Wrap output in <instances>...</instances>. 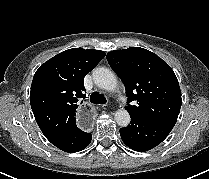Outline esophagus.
<instances>
[{"label":"esophagus","instance_id":"1","mask_svg":"<svg viewBox=\"0 0 209 179\" xmlns=\"http://www.w3.org/2000/svg\"><path fill=\"white\" fill-rule=\"evenodd\" d=\"M79 127L83 131H90L94 127L95 112L91 105H81L77 109Z\"/></svg>","mask_w":209,"mask_h":179}]
</instances>
